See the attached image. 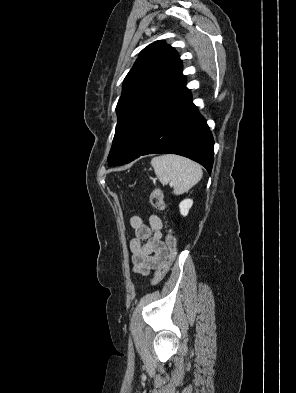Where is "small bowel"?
Listing matches in <instances>:
<instances>
[{
	"label": "small bowel",
	"mask_w": 296,
	"mask_h": 393,
	"mask_svg": "<svg viewBox=\"0 0 296 393\" xmlns=\"http://www.w3.org/2000/svg\"><path fill=\"white\" fill-rule=\"evenodd\" d=\"M129 222L135 230V237L130 241L133 271L147 276L166 258V246L162 241L163 223L156 214L150 215L149 225L137 215L132 216Z\"/></svg>",
	"instance_id": "c3829d8e"
}]
</instances>
